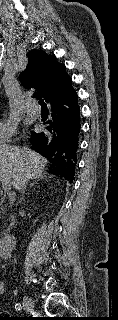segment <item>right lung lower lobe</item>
Segmentation results:
<instances>
[{
  "label": "right lung lower lobe",
  "mask_w": 118,
  "mask_h": 320,
  "mask_svg": "<svg viewBox=\"0 0 118 320\" xmlns=\"http://www.w3.org/2000/svg\"><path fill=\"white\" fill-rule=\"evenodd\" d=\"M50 117L44 132H32V148L47 158L51 174L73 181L80 135L78 95L73 87L48 101Z\"/></svg>",
  "instance_id": "obj_1"
}]
</instances>
